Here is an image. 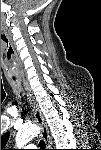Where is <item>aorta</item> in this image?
<instances>
[{"label": "aorta", "mask_w": 101, "mask_h": 150, "mask_svg": "<svg viewBox=\"0 0 101 150\" xmlns=\"http://www.w3.org/2000/svg\"><path fill=\"white\" fill-rule=\"evenodd\" d=\"M40 133V128L36 125H27L21 128L16 135V145L22 147L32 138Z\"/></svg>", "instance_id": "762f6f07"}]
</instances>
